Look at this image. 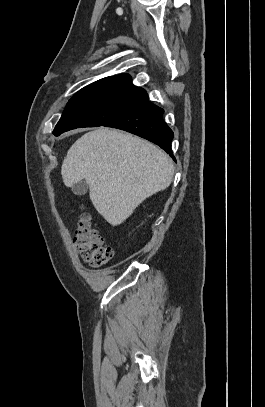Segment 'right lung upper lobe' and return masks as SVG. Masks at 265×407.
I'll return each mask as SVG.
<instances>
[{
    "mask_svg": "<svg viewBox=\"0 0 265 407\" xmlns=\"http://www.w3.org/2000/svg\"><path fill=\"white\" fill-rule=\"evenodd\" d=\"M107 78H115V79H119V80H125V81H131V77L128 74H120L118 76L115 77H107Z\"/></svg>",
    "mask_w": 265,
    "mask_h": 407,
    "instance_id": "right-lung-upper-lobe-1",
    "label": "right lung upper lobe"
}]
</instances>
